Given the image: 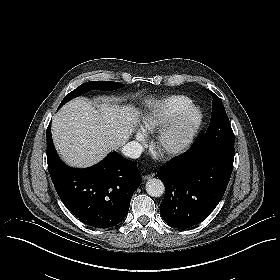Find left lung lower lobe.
<instances>
[{"instance_id": "left-lung-lower-lobe-1", "label": "left lung lower lobe", "mask_w": 280, "mask_h": 280, "mask_svg": "<svg viewBox=\"0 0 280 280\" xmlns=\"http://www.w3.org/2000/svg\"><path fill=\"white\" fill-rule=\"evenodd\" d=\"M234 153L191 150L166 163L157 172L165 183L160 204L164 221L185 229L199 224L222 199L233 170Z\"/></svg>"}]
</instances>
